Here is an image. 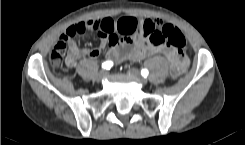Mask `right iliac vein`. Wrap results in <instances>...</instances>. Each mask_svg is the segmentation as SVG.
I'll list each match as a JSON object with an SVG mask.
<instances>
[{
  "instance_id": "obj_1",
  "label": "right iliac vein",
  "mask_w": 245,
  "mask_h": 145,
  "mask_svg": "<svg viewBox=\"0 0 245 145\" xmlns=\"http://www.w3.org/2000/svg\"><path fill=\"white\" fill-rule=\"evenodd\" d=\"M107 76V72L105 70H101L96 77L97 82H101Z\"/></svg>"
}]
</instances>
